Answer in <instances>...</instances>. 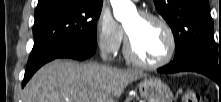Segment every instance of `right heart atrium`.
I'll return each mask as SVG.
<instances>
[{
  "instance_id": "right-heart-atrium-1",
  "label": "right heart atrium",
  "mask_w": 221,
  "mask_h": 102,
  "mask_svg": "<svg viewBox=\"0 0 221 102\" xmlns=\"http://www.w3.org/2000/svg\"><path fill=\"white\" fill-rule=\"evenodd\" d=\"M96 36L99 48L109 54H115L124 40L121 26L107 11H102L97 19Z\"/></svg>"
}]
</instances>
